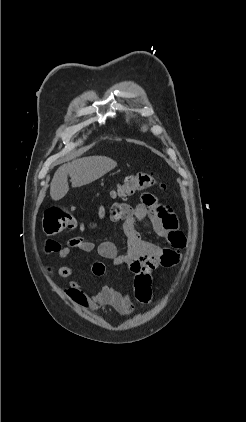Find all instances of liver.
<instances>
[{
  "label": "liver",
  "instance_id": "6515ba94",
  "mask_svg": "<svg viewBox=\"0 0 246 422\" xmlns=\"http://www.w3.org/2000/svg\"><path fill=\"white\" fill-rule=\"evenodd\" d=\"M117 163L102 156L83 157L60 166L50 184V196L57 201L69 191L67 181L71 178L72 187H80L92 183L116 167Z\"/></svg>",
  "mask_w": 246,
  "mask_h": 422
}]
</instances>
